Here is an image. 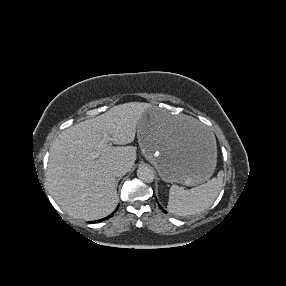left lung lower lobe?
Segmentation results:
<instances>
[{
    "instance_id": "0a47b994",
    "label": "left lung lower lobe",
    "mask_w": 286,
    "mask_h": 286,
    "mask_svg": "<svg viewBox=\"0 0 286 286\" xmlns=\"http://www.w3.org/2000/svg\"><path fill=\"white\" fill-rule=\"evenodd\" d=\"M160 206V205H159ZM161 210L164 212V213H167L161 206H160Z\"/></svg>"
}]
</instances>
